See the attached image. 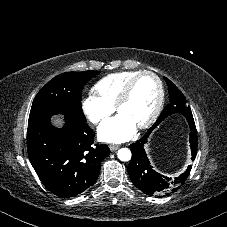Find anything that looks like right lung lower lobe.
Here are the masks:
<instances>
[{"instance_id": "right-lung-lower-lobe-1", "label": "right lung lower lobe", "mask_w": 227, "mask_h": 227, "mask_svg": "<svg viewBox=\"0 0 227 227\" xmlns=\"http://www.w3.org/2000/svg\"><path fill=\"white\" fill-rule=\"evenodd\" d=\"M94 131L84 121L65 117L62 129L50 118L29 126L27 151L32 166L53 194L74 197L92 186L101 161L110 154L107 145L95 144Z\"/></svg>"}]
</instances>
